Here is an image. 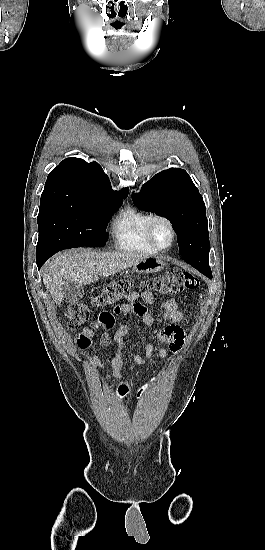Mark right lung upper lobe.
<instances>
[{"instance_id":"obj_1","label":"right lung upper lobe","mask_w":265,"mask_h":550,"mask_svg":"<svg viewBox=\"0 0 265 550\" xmlns=\"http://www.w3.org/2000/svg\"><path fill=\"white\" fill-rule=\"evenodd\" d=\"M127 196V188L116 192L111 190L109 178L98 163L67 158L48 175L41 200L81 201L124 199Z\"/></svg>"}]
</instances>
